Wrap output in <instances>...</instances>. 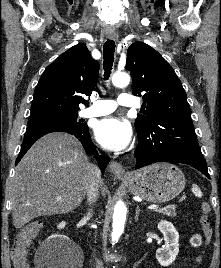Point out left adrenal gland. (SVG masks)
<instances>
[{"label": "left adrenal gland", "instance_id": "1", "mask_svg": "<svg viewBox=\"0 0 221 268\" xmlns=\"http://www.w3.org/2000/svg\"><path fill=\"white\" fill-rule=\"evenodd\" d=\"M140 212H141V209H140V207L137 205V207H136V214H135V221H138Z\"/></svg>", "mask_w": 221, "mask_h": 268}]
</instances>
